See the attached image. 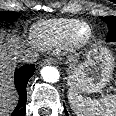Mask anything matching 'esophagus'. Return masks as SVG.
I'll return each mask as SVG.
<instances>
[{"mask_svg": "<svg viewBox=\"0 0 116 116\" xmlns=\"http://www.w3.org/2000/svg\"><path fill=\"white\" fill-rule=\"evenodd\" d=\"M55 62H54V60L53 59H51V58H49V59H46V60H44L42 63H41V66H44V65H47V64H54Z\"/></svg>", "mask_w": 116, "mask_h": 116, "instance_id": "esophagus-1", "label": "esophagus"}]
</instances>
